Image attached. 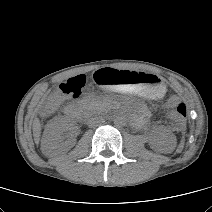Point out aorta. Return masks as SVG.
Segmentation results:
<instances>
[{"label": "aorta", "instance_id": "762f6f07", "mask_svg": "<svg viewBox=\"0 0 212 212\" xmlns=\"http://www.w3.org/2000/svg\"><path fill=\"white\" fill-rule=\"evenodd\" d=\"M126 123V120L123 116H117L115 119H114V124L116 126H123L125 125Z\"/></svg>", "mask_w": 212, "mask_h": 212}]
</instances>
